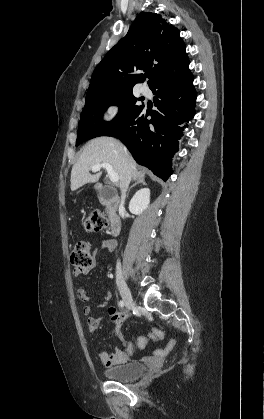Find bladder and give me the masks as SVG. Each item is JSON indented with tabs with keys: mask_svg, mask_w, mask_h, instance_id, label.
<instances>
[{
	"mask_svg": "<svg viewBox=\"0 0 264 419\" xmlns=\"http://www.w3.org/2000/svg\"><path fill=\"white\" fill-rule=\"evenodd\" d=\"M146 370V366L138 361H129L104 371L109 380L127 382L139 378Z\"/></svg>",
	"mask_w": 264,
	"mask_h": 419,
	"instance_id": "31cf9c89",
	"label": "bladder"
}]
</instances>
